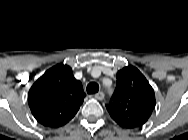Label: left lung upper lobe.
Returning <instances> with one entry per match:
<instances>
[{"instance_id":"left-lung-upper-lobe-1","label":"left lung upper lobe","mask_w":188,"mask_h":140,"mask_svg":"<svg viewBox=\"0 0 188 140\" xmlns=\"http://www.w3.org/2000/svg\"><path fill=\"white\" fill-rule=\"evenodd\" d=\"M155 107V94L149 82L135 67H124L117 73V86L107 110L123 128L144 125Z\"/></svg>"}]
</instances>
